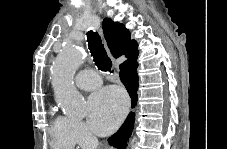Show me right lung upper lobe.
<instances>
[{
  "label": "right lung upper lobe",
  "instance_id": "right-lung-upper-lobe-1",
  "mask_svg": "<svg viewBox=\"0 0 227 149\" xmlns=\"http://www.w3.org/2000/svg\"><path fill=\"white\" fill-rule=\"evenodd\" d=\"M102 27L109 49L115 58L125 55L128 60L124 63L137 59V42L130 39V32L123 24L105 18Z\"/></svg>",
  "mask_w": 227,
  "mask_h": 149
}]
</instances>
